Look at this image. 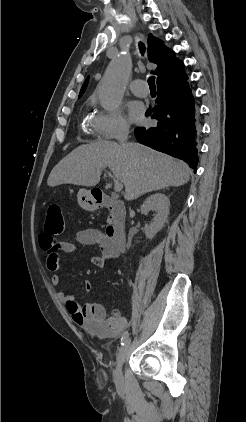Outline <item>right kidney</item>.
Instances as JSON below:
<instances>
[{
  "instance_id": "obj_1",
  "label": "right kidney",
  "mask_w": 246,
  "mask_h": 422,
  "mask_svg": "<svg viewBox=\"0 0 246 422\" xmlns=\"http://www.w3.org/2000/svg\"><path fill=\"white\" fill-rule=\"evenodd\" d=\"M170 209L169 198L162 194L156 193L149 196L141 205V212L145 215L150 210L155 211L153 221L146 227L145 234L148 239H152L164 226Z\"/></svg>"
}]
</instances>
